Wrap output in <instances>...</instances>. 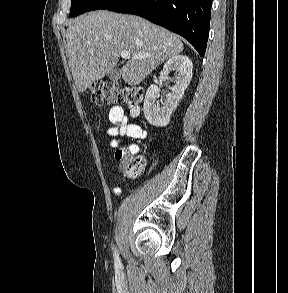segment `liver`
I'll return each instance as SVG.
<instances>
[{
    "mask_svg": "<svg viewBox=\"0 0 288 293\" xmlns=\"http://www.w3.org/2000/svg\"><path fill=\"white\" fill-rule=\"evenodd\" d=\"M66 40L69 66L79 92L110 74L122 51L131 55L121 69L122 79L135 86L184 49L180 39L170 31L141 17L107 10L75 19L67 29ZM142 54L149 57L134 59Z\"/></svg>",
    "mask_w": 288,
    "mask_h": 293,
    "instance_id": "liver-1",
    "label": "liver"
}]
</instances>
